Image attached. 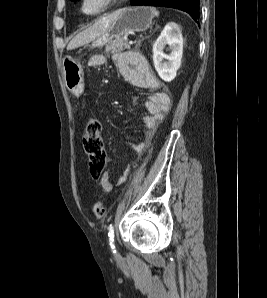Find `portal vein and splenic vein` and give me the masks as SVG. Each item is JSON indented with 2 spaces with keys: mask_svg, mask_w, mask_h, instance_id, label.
Segmentation results:
<instances>
[{
  "mask_svg": "<svg viewBox=\"0 0 267 298\" xmlns=\"http://www.w3.org/2000/svg\"><path fill=\"white\" fill-rule=\"evenodd\" d=\"M133 44V41H129V45H132Z\"/></svg>",
  "mask_w": 267,
  "mask_h": 298,
  "instance_id": "obj_1",
  "label": "portal vein and splenic vein"
}]
</instances>
